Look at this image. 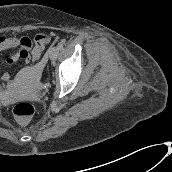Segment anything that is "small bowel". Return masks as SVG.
<instances>
[{
    "instance_id": "c3829d8e",
    "label": "small bowel",
    "mask_w": 172,
    "mask_h": 172,
    "mask_svg": "<svg viewBox=\"0 0 172 172\" xmlns=\"http://www.w3.org/2000/svg\"><path fill=\"white\" fill-rule=\"evenodd\" d=\"M41 35L37 34L33 39L27 36L14 37L0 35V51L18 48L16 53L7 58V62L14 64L22 61L27 65L31 61L38 60L41 57L45 44L49 42V40L42 39ZM12 78L13 75L10 73L0 74V80L3 82H8Z\"/></svg>"
}]
</instances>
